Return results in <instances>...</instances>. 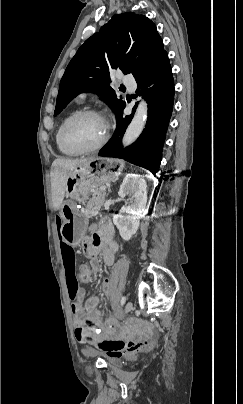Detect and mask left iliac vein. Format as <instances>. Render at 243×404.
Instances as JSON below:
<instances>
[{"label": "left iliac vein", "mask_w": 243, "mask_h": 404, "mask_svg": "<svg viewBox=\"0 0 243 404\" xmlns=\"http://www.w3.org/2000/svg\"><path fill=\"white\" fill-rule=\"evenodd\" d=\"M133 308V303L131 301H128L125 305L124 311H123V315H127Z\"/></svg>", "instance_id": "4c4485c4"}]
</instances>
